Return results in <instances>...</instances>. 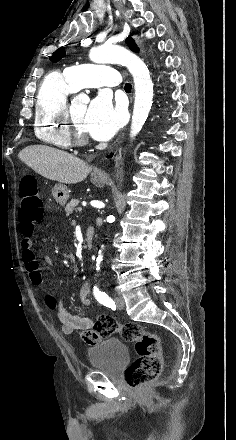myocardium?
Returning <instances> with one entry per match:
<instances>
[{"label":"myocardium","mask_w":236,"mask_h":440,"mask_svg":"<svg viewBox=\"0 0 236 440\" xmlns=\"http://www.w3.org/2000/svg\"><path fill=\"white\" fill-rule=\"evenodd\" d=\"M66 131L72 143L76 145H85L88 143V137L84 134L76 125L74 120L71 105L66 104V108L63 115Z\"/></svg>","instance_id":"f54148a6"}]
</instances>
